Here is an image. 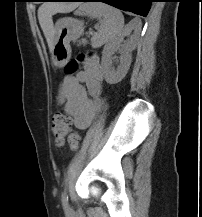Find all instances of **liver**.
<instances>
[{
  "mask_svg": "<svg viewBox=\"0 0 202 217\" xmlns=\"http://www.w3.org/2000/svg\"><path fill=\"white\" fill-rule=\"evenodd\" d=\"M77 6V3L48 2L39 7L38 19L43 33L46 37L50 52H52L53 49V39L55 35L52 15L56 13H69L73 11Z\"/></svg>",
  "mask_w": 202,
  "mask_h": 217,
  "instance_id": "6515ba94",
  "label": "liver"
}]
</instances>
